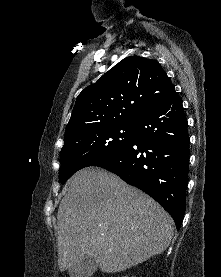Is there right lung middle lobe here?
Segmentation results:
<instances>
[{"label":"right lung middle lobe","instance_id":"dd1d6c3e","mask_svg":"<svg viewBox=\"0 0 221 277\" xmlns=\"http://www.w3.org/2000/svg\"><path fill=\"white\" fill-rule=\"evenodd\" d=\"M133 124L101 125L64 141L59 178L65 183L76 171L94 166L124 150L131 142Z\"/></svg>","mask_w":221,"mask_h":277}]
</instances>
